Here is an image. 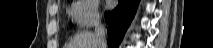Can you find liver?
Wrapping results in <instances>:
<instances>
[{"label":"liver","mask_w":213,"mask_h":48,"mask_svg":"<svg viewBox=\"0 0 213 48\" xmlns=\"http://www.w3.org/2000/svg\"><path fill=\"white\" fill-rule=\"evenodd\" d=\"M66 48H98V44L94 33L84 31L77 34Z\"/></svg>","instance_id":"6515ba94"}]
</instances>
